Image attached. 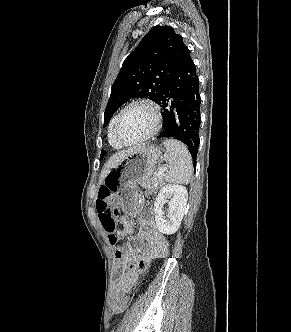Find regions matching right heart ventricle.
Masks as SVG:
<instances>
[{"label": "right heart ventricle", "mask_w": 291, "mask_h": 332, "mask_svg": "<svg viewBox=\"0 0 291 332\" xmlns=\"http://www.w3.org/2000/svg\"><path fill=\"white\" fill-rule=\"evenodd\" d=\"M116 116L111 120L109 129H108V141L110 145L115 149H121L124 147L123 144H121L114 136V122H115Z\"/></svg>", "instance_id": "e07e8e85"}]
</instances>
